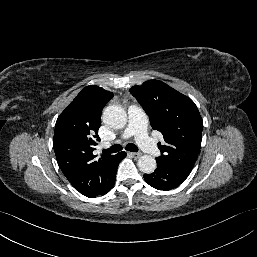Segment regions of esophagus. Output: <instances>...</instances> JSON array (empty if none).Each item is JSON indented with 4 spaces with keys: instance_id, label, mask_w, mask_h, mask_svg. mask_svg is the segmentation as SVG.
Listing matches in <instances>:
<instances>
[{
    "instance_id": "obj_1",
    "label": "esophagus",
    "mask_w": 257,
    "mask_h": 257,
    "mask_svg": "<svg viewBox=\"0 0 257 257\" xmlns=\"http://www.w3.org/2000/svg\"><path fill=\"white\" fill-rule=\"evenodd\" d=\"M134 158H138V157H140L142 154L141 153H139V152H132V153H130Z\"/></svg>"
}]
</instances>
